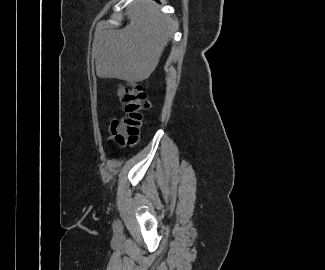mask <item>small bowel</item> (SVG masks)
Segmentation results:
<instances>
[{"label": "small bowel", "instance_id": "small-bowel-1", "mask_svg": "<svg viewBox=\"0 0 325 270\" xmlns=\"http://www.w3.org/2000/svg\"><path fill=\"white\" fill-rule=\"evenodd\" d=\"M113 121H114V120H112L111 123H112ZM110 131H111V133H112V126H111V124H110Z\"/></svg>", "mask_w": 325, "mask_h": 270}]
</instances>
